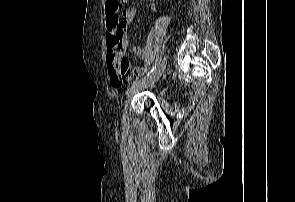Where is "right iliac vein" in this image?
<instances>
[{
  "label": "right iliac vein",
  "instance_id": "1",
  "mask_svg": "<svg viewBox=\"0 0 295 202\" xmlns=\"http://www.w3.org/2000/svg\"><path fill=\"white\" fill-rule=\"evenodd\" d=\"M166 67V58H164L159 66V68L144 82H141L135 86L130 87L126 92V97L132 95L137 89L144 88L153 85L155 82L158 81L162 73L164 72Z\"/></svg>",
  "mask_w": 295,
  "mask_h": 202
}]
</instances>
